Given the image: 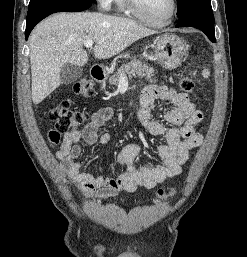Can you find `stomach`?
<instances>
[{
    "instance_id": "stomach-1",
    "label": "stomach",
    "mask_w": 247,
    "mask_h": 257,
    "mask_svg": "<svg viewBox=\"0 0 247 257\" xmlns=\"http://www.w3.org/2000/svg\"><path fill=\"white\" fill-rule=\"evenodd\" d=\"M186 53V44L178 36L165 33L154 43V59L166 69H174L181 65Z\"/></svg>"
}]
</instances>
